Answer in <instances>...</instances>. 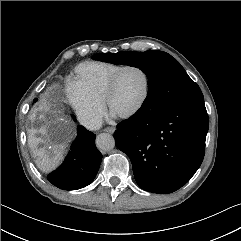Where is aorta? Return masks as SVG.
<instances>
[{
    "label": "aorta",
    "mask_w": 241,
    "mask_h": 241,
    "mask_svg": "<svg viewBox=\"0 0 241 241\" xmlns=\"http://www.w3.org/2000/svg\"><path fill=\"white\" fill-rule=\"evenodd\" d=\"M96 145L103 151L112 150L115 147L114 137L109 133H101L96 138Z\"/></svg>",
    "instance_id": "762f6f07"
}]
</instances>
